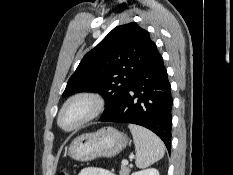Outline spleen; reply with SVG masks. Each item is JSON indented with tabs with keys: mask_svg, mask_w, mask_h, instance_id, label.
Wrapping results in <instances>:
<instances>
[{
	"mask_svg": "<svg viewBox=\"0 0 233 175\" xmlns=\"http://www.w3.org/2000/svg\"><path fill=\"white\" fill-rule=\"evenodd\" d=\"M136 151V166L145 168L160 160L165 153V146L161 139L150 130L129 124Z\"/></svg>",
	"mask_w": 233,
	"mask_h": 175,
	"instance_id": "3e777b00",
	"label": "spleen"
}]
</instances>
